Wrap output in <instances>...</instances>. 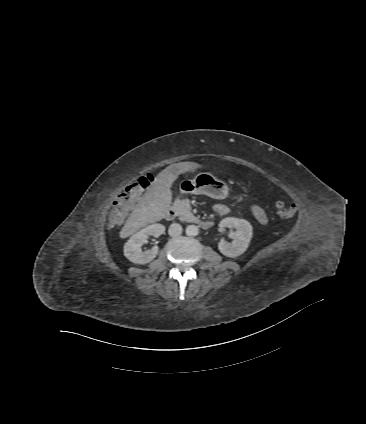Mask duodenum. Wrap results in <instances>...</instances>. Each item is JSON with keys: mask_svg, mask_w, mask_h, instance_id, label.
Returning a JSON list of instances; mask_svg holds the SVG:
<instances>
[{"mask_svg": "<svg viewBox=\"0 0 366 424\" xmlns=\"http://www.w3.org/2000/svg\"><path fill=\"white\" fill-rule=\"evenodd\" d=\"M165 217L169 220L173 219L175 217L174 207H172V206L168 207V209L165 212ZM212 225H213V223L211 221H208V220H203V221L200 222L201 228H203L205 230L210 229L212 227Z\"/></svg>", "mask_w": 366, "mask_h": 424, "instance_id": "obj_1", "label": "duodenum"}]
</instances>
